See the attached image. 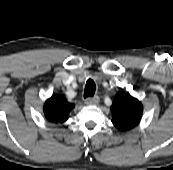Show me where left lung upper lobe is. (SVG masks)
<instances>
[{
  "label": "left lung upper lobe",
  "mask_w": 173,
  "mask_h": 170,
  "mask_svg": "<svg viewBox=\"0 0 173 170\" xmlns=\"http://www.w3.org/2000/svg\"><path fill=\"white\" fill-rule=\"evenodd\" d=\"M111 109L113 112L112 122L121 131L136 127L143 112L141 102L126 92L115 96Z\"/></svg>",
  "instance_id": "obj_1"
}]
</instances>
